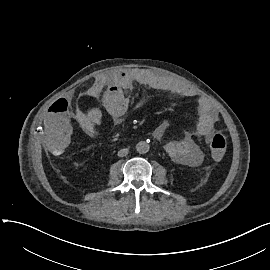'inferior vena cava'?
<instances>
[{"instance_id": "1", "label": "inferior vena cava", "mask_w": 270, "mask_h": 270, "mask_svg": "<svg viewBox=\"0 0 270 270\" xmlns=\"http://www.w3.org/2000/svg\"><path fill=\"white\" fill-rule=\"evenodd\" d=\"M128 152H129V150L127 148L121 149V150L118 151V156L119 157H124V156H126L128 154Z\"/></svg>"}]
</instances>
